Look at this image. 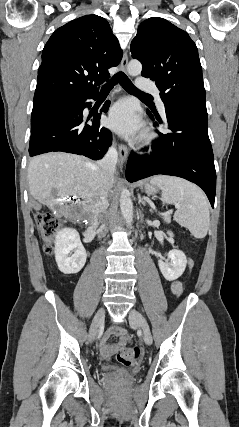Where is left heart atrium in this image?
I'll return each mask as SVG.
<instances>
[{
	"label": "left heart atrium",
	"instance_id": "39dd6f15",
	"mask_svg": "<svg viewBox=\"0 0 239 427\" xmlns=\"http://www.w3.org/2000/svg\"><path fill=\"white\" fill-rule=\"evenodd\" d=\"M108 126L126 137H135L142 130V123L136 114L135 107L128 100H121L111 108Z\"/></svg>",
	"mask_w": 239,
	"mask_h": 427
}]
</instances>
